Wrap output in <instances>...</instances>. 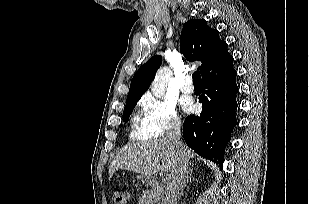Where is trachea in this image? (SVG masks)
Wrapping results in <instances>:
<instances>
[{"label": "trachea", "mask_w": 309, "mask_h": 204, "mask_svg": "<svg viewBox=\"0 0 309 204\" xmlns=\"http://www.w3.org/2000/svg\"><path fill=\"white\" fill-rule=\"evenodd\" d=\"M192 77L194 85H201V76L199 71H195Z\"/></svg>", "instance_id": "3493384b"}]
</instances>
